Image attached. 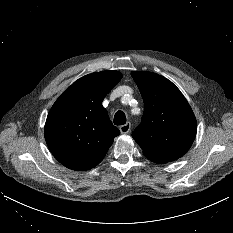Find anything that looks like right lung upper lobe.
<instances>
[{
  "label": "right lung upper lobe",
  "instance_id": "obj_1",
  "mask_svg": "<svg viewBox=\"0 0 233 233\" xmlns=\"http://www.w3.org/2000/svg\"><path fill=\"white\" fill-rule=\"evenodd\" d=\"M121 78L118 71L83 76L52 106L45 123V140L65 167L76 171L95 167L120 134L102 101Z\"/></svg>",
  "mask_w": 233,
  "mask_h": 233
}]
</instances>
